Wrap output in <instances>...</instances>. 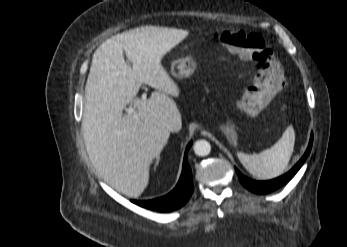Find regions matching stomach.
Returning a JSON list of instances; mask_svg holds the SVG:
<instances>
[{"label":"stomach","instance_id":"0dacf381","mask_svg":"<svg viewBox=\"0 0 347 247\" xmlns=\"http://www.w3.org/2000/svg\"><path fill=\"white\" fill-rule=\"evenodd\" d=\"M196 69V62L193 57L189 56L176 60L171 67V73L176 78L182 79L190 77ZM219 129L226 135L227 139L235 142L236 132L235 125L231 120L226 124L220 125Z\"/></svg>","mask_w":347,"mask_h":247}]
</instances>
